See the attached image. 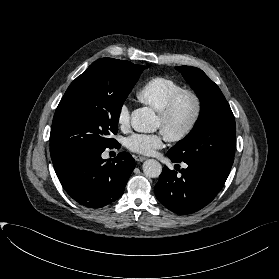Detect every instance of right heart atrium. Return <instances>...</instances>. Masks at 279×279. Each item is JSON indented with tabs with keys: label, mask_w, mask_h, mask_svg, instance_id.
<instances>
[{
	"label": "right heart atrium",
	"mask_w": 279,
	"mask_h": 279,
	"mask_svg": "<svg viewBox=\"0 0 279 279\" xmlns=\"http://www.w3.org/2000/svg\"><path fill=\"white\" fill-rule=\"evenodd\" d=\"M130 117H131V111L129 106L124 103L122 104L117 113V123L122 129L128 128L130 124Z\"/></svg>",
	"instance_id": "right-heart-atrium-1"
}]
</instances>
